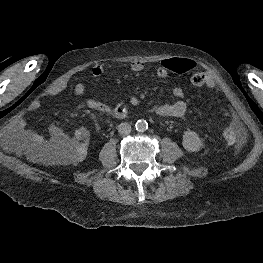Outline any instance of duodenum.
I'll return each instance as SVG.
<instances>
[{"instance_id":"1","label":"duodenum","mask_w":263,"mask_h":263,"mask_svg":"<svg viewBox=\"0 0 263 263\" xmlns=\"http://www.w3.org/2000/svg\"><path fill=\"white\" fill-rule=\"evenodd\" d=\"M127 113L126 107L122 106L119 110H117L116 115L119 117L125 116Z\"/></svg>"}]
</instances>
